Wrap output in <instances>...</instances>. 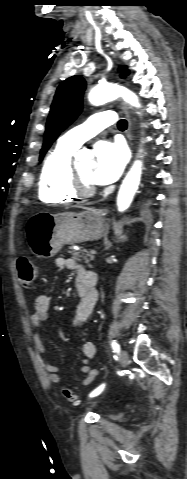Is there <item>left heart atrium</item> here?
<instances>
[{
    "label": "left heart atrium",
    "mask_w": 187,
    "mask_h": 479,
    "mask_svg": "<svg viewBox=\"0 0 187 479\" xmlns=\"http://www.w3.org/2000/svg\"><path fill=\"white\" fill-rule=\"evenodd\" d=\"M96 166L92 173L95 184L105 185L116 181L126 164L124 148L109 141H99L94 146Z\"/></svg>",
    "instance_id": "1"
}]
</instances>
